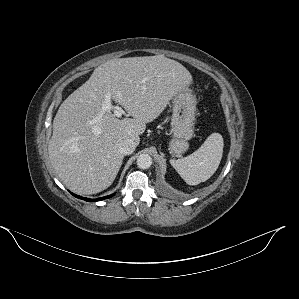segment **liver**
<instances>
[{
    "label": "liver",
    "instance_id": "liver-1",
    "mask_svg": "<svg viewBox=\"0 0 299 299\" xmlns=\"http://www.w3.org/2000/svg\"><path fill=\"white\" fill-rule=\"evenodd\" d=\"M190 72L163 55L117 58L98 66L59 107L48 144L60 180L77 194H95L116 178L124 155L119 144L140 142L174 95L192 84ZM107 94L132 118L103 110Z\"/></svg>",
    "mask_w": 299,
    "mask_h": 299
}]
</instances>
